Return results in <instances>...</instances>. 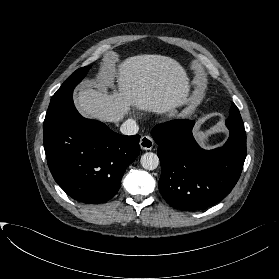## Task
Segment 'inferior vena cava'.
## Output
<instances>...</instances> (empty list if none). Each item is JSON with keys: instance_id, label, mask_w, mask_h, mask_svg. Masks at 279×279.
I'll list each match as a JSON object with an SVG mask.
<instances>
[{"instance_id": "inferior-vena-cava-1", "label": "inferior vena cava", "mask_w": 279, "mask_h": 279, "mask_svg": "<svg viewBox=\"0 0 279 279\" xmlns=\"http://www.w3.org/2000/svg\"><path fill=\"white\" fill-rule=\"evenodd\" d=\"M139 128L133 119L126 120L120 127V131L124 135H135Z\"/></svg>"}]
</instances>
